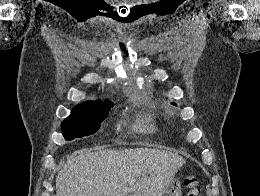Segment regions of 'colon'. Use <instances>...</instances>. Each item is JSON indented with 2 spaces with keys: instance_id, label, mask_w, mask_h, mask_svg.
Here are the masks:
<instances>
[{
  "instance_id": "5ec220e1",
  "label": "colon",
  "mask_w": 260,
  "mask_h": 196,
  "mask_svg": "<svg viewBox=\"0 0 260 196\" xmlns=\"http://www.w3.org/2000/svg\"><path fill=\"white\" fill-rule=\"evenodd\" d=\"M186 186L190 189L188 196H200V186L196 176H188L185 179Z\"/></svg>"
}]
</instances>
